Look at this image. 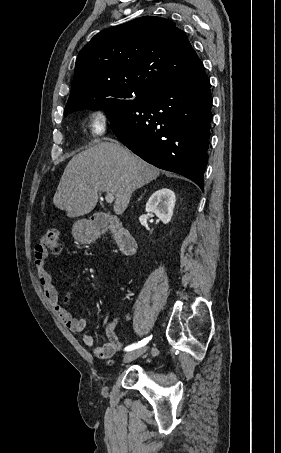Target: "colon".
Wrapping results in <instances>:
<instances>
[{"instance_id": "5ec220e1", "label": "colon", "mask_w": 281, "mask_h": 453, "mask_svg": "<svg viewBox=\"0 0 281 453\" xmlns=\"http://www.w3.org/2000/svg\"><path fill=\"white\" fill-rule=\"evenodd\" d=\"M60 227L48 226L45 235L42 237L39 249L45 251V256L42 258V262L46 261L50 256H58L61 252L59 242ZM37 260V256H36Z\"/></svg>"}]
</instances>
